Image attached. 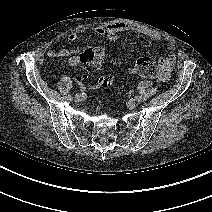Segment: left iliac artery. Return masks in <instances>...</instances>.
Segmentation results:
<instances>
[{
  "label": "left iliac artery",
  "mask_w": 212,
  "mask_h": 212,
  "mask_svg": "<svg viewBox=\"0 0 212 212\" xmlns=\"http://www.w3.org/2000/svg\"><path fill=\"white\" fill-rule=\"evenodd\" d=\"M135 100L138 102V103H141L142 102V98L140 96H135Z\"/></svg>",
  "instance_id": "44dca946"
}]
</instances>
